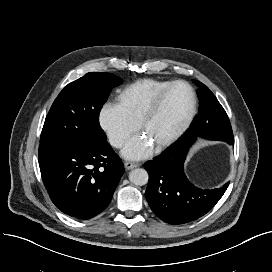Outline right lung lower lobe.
<instances>
[{"label":"right lung lower lobe","mask_w":272,"mask_h":272,"mask_svg":"<svg viewBox=\"0 0 272 272\" xmlns=\"http://www.w3.org/2000/svg\"><path fill=\"white\" fill-rule=\"evenodd\" d=\"M39 166L52 202L78 219L92 218L109 205L124 172L107 141L40 144Z\"/></svg>","instance_id":"obj_1"}]
</instances>
